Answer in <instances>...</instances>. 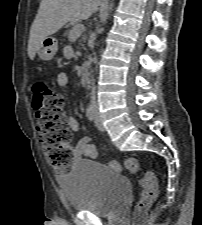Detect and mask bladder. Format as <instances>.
I'll use <instances>...</instances> for the list:
<instances>
[{
    "label": "bladder",
    "instance_id": "31cf9c89",
    "mask_svg": "<svg viewBox=\"0 0 202 225\" xmlns=\"http://www.w3.org/2000/svg\"><path fill=\"white\" fill-rule=\"evenodd\" d=\"M62 190L69 208L98 217L112 216L130 195L131 182L120 172L91 159L75 162L64 176Z\"/></svg>",
    "mask_w": 202,
    "mask_h": 225
}]
</instances>
